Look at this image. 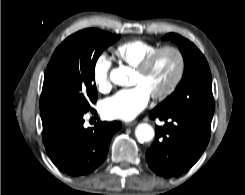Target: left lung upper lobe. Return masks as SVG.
I'll return each instance as SVG.
<instances>
[{"instance_id": "5c2ea615", "label": "left lung upper lobe", "mask_w": 245, "mask_h": 195, "mask_svg": "<svg viewBox=\"0 0 245 195\" xmlns=\"http://www.w3.org/2000/svg\"><path fill=\"white\" fill-rule=\"evenodd\" d=\"M163 40L175 42L184 58V74L175 91L155 109L214 113L211 72L206 58L189 40L169 33Z\"/></svg>"}]
</instances>
